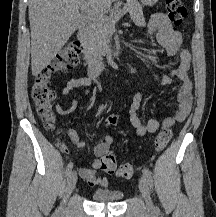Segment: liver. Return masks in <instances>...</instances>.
<instances>
[{"mask_svg":"<svg viewBox=\"0 0 216 217\" xmlns=\"http://www.w3.org/2000/svg\"><path fill=\"white\" fill-rule=\"evenodd\" d=\"M116 0H29L32 75L37 76L82 25L79 6L103 12Z\"/></svg>","mask_w":216,"mask_h":217,"instance_id":"liver-1","label":"liver"}]
</instances>
